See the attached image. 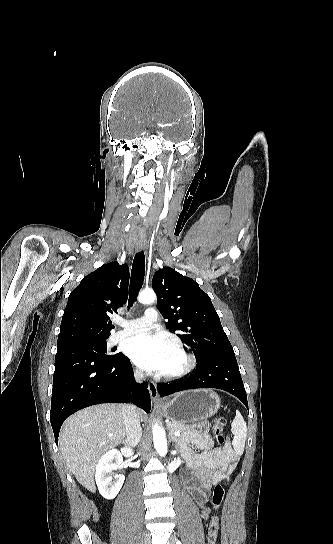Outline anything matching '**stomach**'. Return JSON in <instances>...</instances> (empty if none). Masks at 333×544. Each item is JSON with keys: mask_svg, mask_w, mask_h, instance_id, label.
<instances>
[{"mask_svg": "<svg viewBox=\"0 0 333 544\" xmlns=\"http://www.w3.org/2000/svg\"><path fill=\"white\" fill-rule=\"evenodd\" d=\"M220 408V397L210 389L185 391L177 394L162 407L165 416L182 424L209 418Z\"/></svg>", "mask_w": 333, "mask_h": 544, "instance_id": "obj_1", "label": "stomach"}]
</instances>
